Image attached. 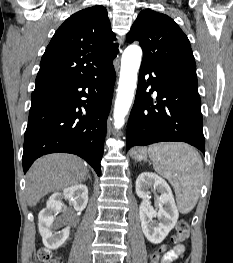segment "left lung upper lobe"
<instances>
[{
  "label": "left lung upper lobe",
  "instance_id": "left-lung-upper-lobe-1",
  "mask_svg": "<svg viewBox=\"0 0 233 263\" xmlns=\"http://www.w3.org/2000/svg\"><path fill=\"white\" fill-rule=\"evenodd\" d=\"M139 41L142 62L158 67L196 75L195 59L187 36L165 14L150 9L139 13L127 34V41Z\"/></svg>",
  "mask_w": 233,
  "mask_h": 263
}]
</instances>
